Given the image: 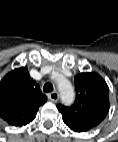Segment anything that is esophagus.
<instances>
[{"instance_id": "obj_1", "label": "esophagus", "mask_w": 118, "mask_h": 142, "mask_svg": "<svg viewBox=\"0 0 118 142\" xmlns=\"http://www.w3.org/2000/svg\"><path fill=\"white\" fill-rule=\"evenodd\" d=\"M48 98L53 102H57L59 100V93L57 91H53L48 94Z\"/></svg>"}]
</instances>
